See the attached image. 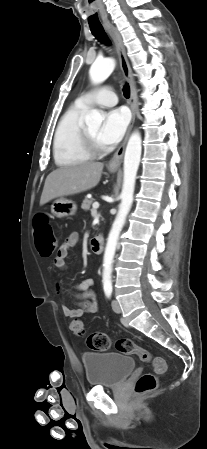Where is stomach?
Instances as JSON below:
<instances>
[{"instance_id":"stomach-1","label":"stomach","mask_w":207,"mask_h":449,"mask_svg":"<svg viewBox=\"0 0 207 449\" xmlns=\"http://www.w3.org/2000/svg\"><path fill=\"white\" fill-rule=\"evenodd\" d=\"M114 173L117 169H109ZM77 211V205L74 201L65 198L57 199L51 205V212L57 218H65L74 215Z\"/></svg>"}]
</instances>
